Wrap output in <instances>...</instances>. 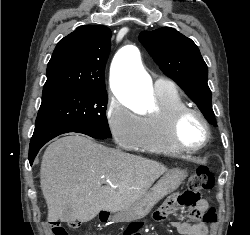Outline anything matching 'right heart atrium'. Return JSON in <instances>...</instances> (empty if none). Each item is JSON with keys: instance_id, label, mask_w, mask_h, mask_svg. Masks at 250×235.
Here are the masks:
<instances>
[{"instance_id": "obj_1", "label": "right heart atrium", "mask_w": 250, "mask_h": 235, "mask_svg": "<svg viewBox=\"0 0 250 235\" xmlns=\"http://www.w3.org/2000/svg\"><path fill=\"white\" fill-rule=\"evenodd\" d=\"M106 122L115 142L123 148L134 149L142 137V118L115 97H109Z\"/></svg>"}]
</instances>
